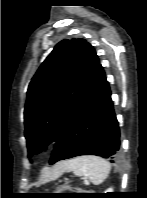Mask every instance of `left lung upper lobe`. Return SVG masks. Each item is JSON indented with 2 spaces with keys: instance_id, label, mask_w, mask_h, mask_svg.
Listing matches in <instances>:
<instances>
[{
  "instance_id": "left-lung-upper-lobe-1",
  "label": "left lung upper lobe",
  "mask_w": 147,
  "mask_h": 198,
  "mask_svg": "<svg viewBox=\"0 0 147 198\" xmlns=\"http://www.w3.org/2000/svg\"><path fill=\"white\" fill-rule=\"evenodd\" d=\"M99 64L84 39H64L32 78L24 110L28 157L63 136L92 86Z\"/></svg>"
}]
</instances>
